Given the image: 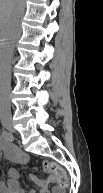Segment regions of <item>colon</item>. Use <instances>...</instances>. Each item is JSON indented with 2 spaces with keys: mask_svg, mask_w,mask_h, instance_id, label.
Here are the masks:
<instances>
[{
  "mask_svg": "<svg viewBox=\"0 0 103 193\" xmlns=\"http://www.w3.org/2000/svg\"><path fill=\"white\" fill-rule=\"evenodd\" d=\"M44 170L55 176L61 186L68 185V176L66 171L55 163L46 162L43 166Z\"/></svg>",
  "mask_w": 103,
  "mask_h": 193,
  "instance_id": "colon-1",
  "label": "colon"
}]
</instances>
